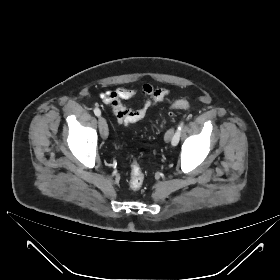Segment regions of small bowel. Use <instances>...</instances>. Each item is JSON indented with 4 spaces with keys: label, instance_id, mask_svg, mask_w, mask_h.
<instances>
[{
    "label": "small bowel",
    "instance_id": "small-bowel-1",
    "mask_svg": "<svg viewBox=\"0 0 280 280\" xmlns=\"http://www.w3.org/2000/svg\"><path fill=\"white\" fill-rule=\"evenodd\" d=\"M139 96L144 98V103L139 108H131L124 103V101H130ZM168 96L167 88L145 83L139 89L121 87L105 91L101 94V99L105 105L110 107L118 124L127 127L142 121L151 109L164 102Z\"/></svg>",
    "mask_w": 280,
    "mask_h": 280
}]
</instances>
